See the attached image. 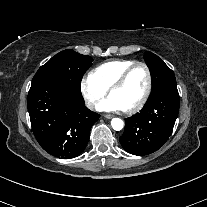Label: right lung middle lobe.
<instances>
[{"instance_id":"1","label":"right lung middle lobe","mask_w":207,"mask_h":207,"mask_svg":"<svg viewBox=\"0 0 207 207\" xmlns=\"http://www.w3.org/2000/svg\"><path fill=\"white\" fill-rule=\"evenodd\" d=\"M92 58L71 49L59 52L35 74L32 84L55 82L80 91L82 76L91 66Z\"/></svg>"}]
</instances>
